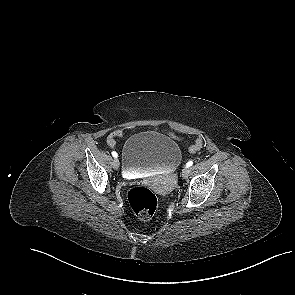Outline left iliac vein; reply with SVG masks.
<instances>
[{"label":"left iliac vein","instance_id":"4c4485c4","mask_svg":"<svg viewBox=\"0 0 295 295\" xmlns=\"http://www.w3.org/2000/svg\"><path fill=\"white\" fill-rule=\"evenodd\" d=\"M189 173H190L189 167H184V169L182 170V177L187 178Z\"/></svg>","mask_w":295,"mask_h":295}]
</instances>
